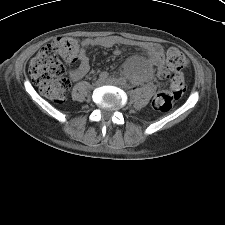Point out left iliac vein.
<instances>
[{
	"mask_svg": "<svg viewBox=\"0 0 225 225\" xmlns=\"http://www.w3.org/2000/svg\"><path fill=\"white\" fill-rule=\"evenodd\" d=\"M106 83L112 84V85H119L120 84L118 79L112 78V77L108 78L106 80Z\"/></svg>",
	"mask_w": 225,
	"mask_h": 225,
	"instance_id": "4c4485c4",
	"label": "left iliac vein"
}]
</instances>
